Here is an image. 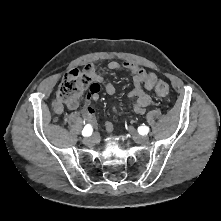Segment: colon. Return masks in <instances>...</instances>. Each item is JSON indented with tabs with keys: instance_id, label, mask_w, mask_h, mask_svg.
I'll return each instance as SVG.
<instances>
[{
	"instance_id": "obj_1",
	"label": "colon",
	"mask_w": 221,
	"mask_h": 221,
	"mask_svg": "<svg viewBox=\"0 0 221 221\" xmlns=\"http://www.w3.org/2000/svg\"><path fill=\"white\" fill-rule=\"evenodd\" d=\"M90 85H95L87 72L73 69L62 80L58 89V98L61 101L78 99L84 92L88 91ZM155 92L162 98L168 97L169 85L165 81H158Z\"/></svg>"
}]
</instances>
